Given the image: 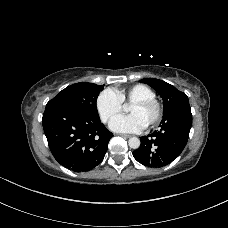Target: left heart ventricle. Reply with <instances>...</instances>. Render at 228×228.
I'll list each match as a JSON object with an SVG mask.
<instances>
[{
	"label": "left heart ventricle",
	"instance_id": "obj_1",
	"mask_svg": "<svg viewBox=\"0 0 228 228\" xmlns=\"http://www.w3.org/2000/svg\"><path fill=\"white\" fill-rule=\"evenodd\" d=\"M129 114L138 116L145 125L152 121L155 116V109L153 107L142 108L131 105L128 109Z\"/></svg>",
	"mask_w": 228,
	"mask_h": 228
}]
</instances>
